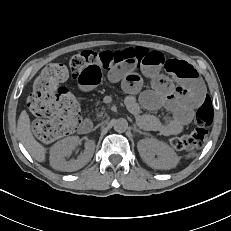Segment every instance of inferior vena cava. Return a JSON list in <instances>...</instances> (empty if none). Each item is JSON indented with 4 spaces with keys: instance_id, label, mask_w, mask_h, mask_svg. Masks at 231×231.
<instances>
[{
    "instance_id": "obj_1",
    "label": "inferior vena cava",
    "mask_w": 231,
    "mask_h": 231,
    "mask_svg": "<svg viewBox=\"0 0 231 231\" xmlns=\"http://www.w3.org/2000/svg\"><path fill=\"white\" fill-rule=\"evenodd\" d=\"M104 128V123L95 124V129Z\"/></svg>"
}]
</instances>
